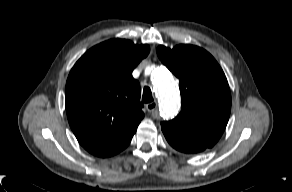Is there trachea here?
Wrapping results in <instances>:
<instances>
[{
	"instance_id": "3493384b",
	"label": "trachea",
	"mask_w": 292,
	"mask_h": 192,
	"mask_svg": "<svg viewBox=\"0 0 292 192\" xmlns=\"http://www.w3.org/2000/svg\"><path fill=\"white\" fill-rule=\"evenodd\" d=\"M152 101H153V97H152L151 89L146 86V87H144L142 102L150 103Z\"/></svg>"
}]
</instances>
